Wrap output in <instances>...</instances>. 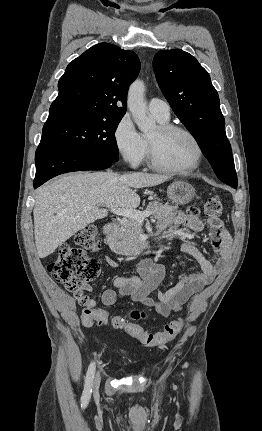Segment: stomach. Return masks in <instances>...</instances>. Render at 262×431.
Listing matches in <instances>:
<instances>
[{
    "instance_id": "obj_1",
    "label": "stomach",
    "mask_w": 262,
    "mask_h": 431,
    "mask_svg": "<svg viewBox=\"0 0 262 431\" xmlns=\"http://www.w3.org/2000/svg\"><path fill=\"white\" fill-rule=\"evenodd\" d=\"M194 195V187L185 181H175L167 188V196L169 200L176 205L189 203Z\"/></svg>"
}]
</instances>
